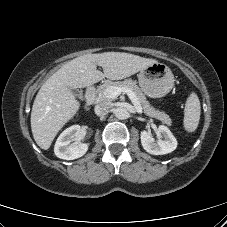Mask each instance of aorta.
<instances>
[{
	"instance_id": "obj_1",
	"label": "aorta",
	"mask_w": 227,
	"mask_h": 227,
	"mask_svg": "<svg viewBox=\"0 0 227 227\" xmlns=\"http://www.w3.org/2000/svg\"><path fill=\"white\" fill-rule=\"evenodd\" d=\"M114 114H115L116 118H118L120 120L126 119L128 117V111L124 107L116 108L114 111Z\"/></svg>"
}]
</instances>
